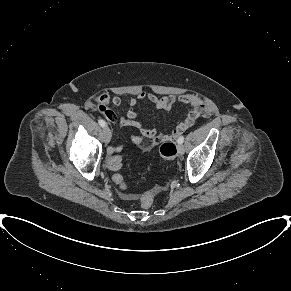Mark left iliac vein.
<instances>
[{
	"label": "left iliac vein",
	"instance_id": "1",
	"mask_svg": "<svg viewBox=\"0 0 291 291\" xmlns=\"http://www.w3.org/2000/svg\"><path fill=\"white\" fill-rule=\"evenodd\" d=\"M177 150L179 155H183L185 152L184 146L182 144H178Z\"/></svg>",
	"mask_w": 291,
	"mask_h": 291
}]
</instances>
